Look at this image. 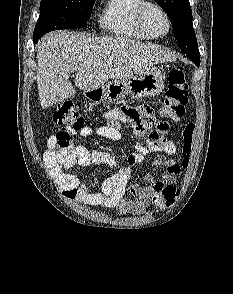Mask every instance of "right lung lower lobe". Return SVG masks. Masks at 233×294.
<instances>
[{
	"label": "right lung lower lobe",
	"mask_w": 233,
	"mask_h": 294,
	"mask_svg": "<svg viewBox=\"0 0 233 294\" xmlns=\"http://www.w3.org/2000/svg\"><path fill=\"white\" fill-rule=\"evenodd\" d=\"M37 40H38V39H37V38H35V39H34V43H36V42H37Z\"/></svg>",
	"instance_id": "obj_1"
}]
</instances>
